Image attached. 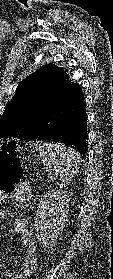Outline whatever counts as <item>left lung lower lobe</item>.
<instances>
[{
  "label": "left lung lower lobe",
  "mask_w": 113,
  "mask_h": 279,
  "mask_svg": "<svg viewBox=\"0 0 113 279\" xmlns=\"http://www.w3.org/2000/svg\"><path fill=\"white\" fill-rule=\"evenodd\" d=\"M18 138L62 143L86 153L87 117L84 94L78 83L64 75L35 108Z\"/></svg>",
  "instance_id": "0a47b994"
}]
</instances>
